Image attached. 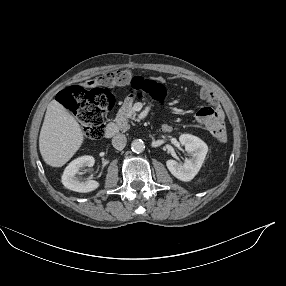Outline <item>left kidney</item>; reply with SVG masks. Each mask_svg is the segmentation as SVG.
Returning a JSON list of instances; mask_svg holds the SVG:
<instances>
[{"label":"left kidney","mask_w":286,"mask_h":286,"mask_svg":"<svg viewBox=\"0 0 286 286\" xmlns=\"http://www.w3.org/2000/svg\"><path fill=\"white\" fill-rule=\"evenodd\" d=\"M179 141L185 146L191 158L186 159L184 164L170 159L166 161V166L177 179L188 182L192 180L200 170L208 152V146L200 138L190 134L181 135Z\"/></svg>","instance_id":"obj_1"}]
</instances>
